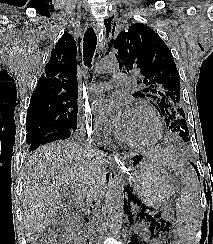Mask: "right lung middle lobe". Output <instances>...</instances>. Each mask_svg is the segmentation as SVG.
I'll list each match as a JSON object with an SVG mask.
<instances>
[{
  "label": "right lung middle lobe",
  "instance_id": "right-lung-middle-lobe-1",
  "mask_svg": "<svg viewBox=\"0 0 213 244\" xmlns=\"http://www.w3.org/2000/svg\"><path fill=\"white\" fill-rule=\"evenodd\" d=\"M77 98L74 96L31 98L26 118L27 143H33L56 131H75Z\"/></svg>",
  "mask_w": 213,
  "mask_h": 244
}]
</instances>
